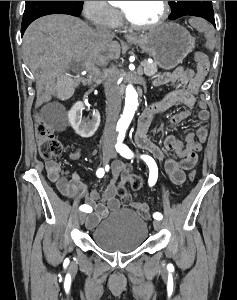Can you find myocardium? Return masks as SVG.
I'll return each instance as SVG.
<instances>
[{
  "label": "myocardium",
  "mask_w": 237,
  "mask_h": 300,
  "mask_svg": "<svg viewBox=\"0 0 237 300\" xmlns=\"http://www.w3.org/2000/svg\"><path fill=\"white\" fill-rule=\"evenodd\" d=\"M162 6H163V11H162L160 18L151 24H144V25L137 24L127 15V13L124 10L122 11V13H123V17H124L125 21L132 28H134L136 30H141V31L154 30V29L161 27L167 21L169 15H170L169 1H162Z\"/></svg>",
  "instance_id": "f54148a6"
}]
</instances>
